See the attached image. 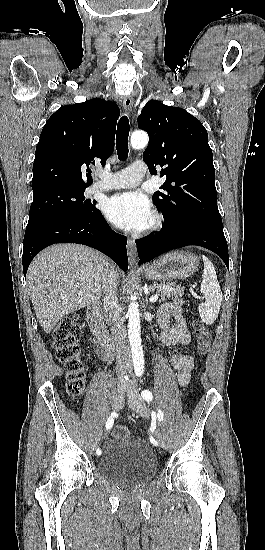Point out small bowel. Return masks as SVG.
Wrapping results in <instances>:
<instances>
[{
	"label": "small bowel",
	"mask_w": 265,
	"mask_h": 550,
	"mask_svg": "<svg viewBox=\"0 0 265 550\" xmlns=\"http://www.w3.org/2000/svg\"><path fill=\"white\" fill-rule=\"evenodd\" d=\"M182 302L179 299L163 304L158 311L160 340L167 346L190 345L191 337L186 322L181 312ZM175 320L173 327H168L169 319ZM99 354L107 361H110L112 355L110 351L98 349ZM171 364L177 370V380L180 386H186L191 379V373L194 367L193 358L188 353H175L171 357Z\"/></svg>",
	"instance_id": "c3829d8e"
}]
</instances>
